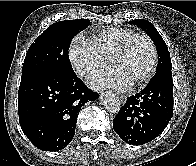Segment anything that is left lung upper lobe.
<instances>
[{
    "instance_id": "1",
    "label": "left lung upper lobe",
    "mask_w": 196,
    "mask_h": 166,
    "mask_svg": "<svg viewBox=\"0 0 196 166\" xmlns=\"http://www.w3.org/2000/svg\"><path fill=\"white\" fill-rule=\"evenodd\" d=\"M130 23L141 27L154 41L159 57L156 74L172 70V63L166 43L153 24L144 19L132 20Z\"/></svg>"
}]
</instances>
